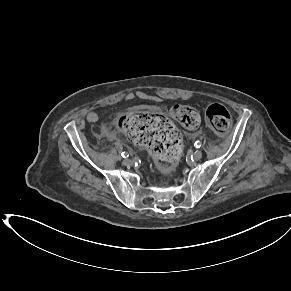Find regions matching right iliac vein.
Wrapping results in <instances>:
<instances>
[{"label":"right iliac vein","mask_w":291,"mask_h":291,"mask_svg":"<svg viewBox=\"0 0 291 291\" xmlns=\"http://www.w3.org/2000/svg\"><path fill=\"white\" fill-rule=\"evenodd\" d=\"M123 164L125 166H131L133 164V162H132V160L126 158V159L123 160Z\"/></svg>","instance_id":"1"}]
</instances>
